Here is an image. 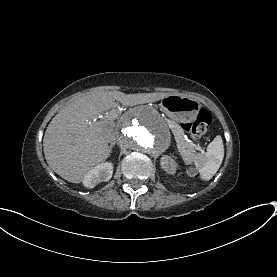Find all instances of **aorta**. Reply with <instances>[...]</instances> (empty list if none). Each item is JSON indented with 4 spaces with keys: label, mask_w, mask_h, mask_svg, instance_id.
Masks as SVG:
<instances>
[{
    "label": "aorta",
    "mask_w": 277,
    "mask_h": 277,
    "mask_svg": "<svg viewBox=\"0 0 277 277\" xmlns=\"http://www.w3.org/2000/svg\"><path fill=\"white\" fill-rule=\"evenodd\" d=\"M118 140L130 151L155 158L170 146L171 136L166 122L155 111L140 108L121 119Z\"/></svg>",
    "instance_id": "1"
}]
</instances>
